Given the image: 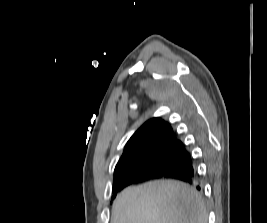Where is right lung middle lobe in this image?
Here are the masks:
<instances>
[{
    "instance_id": "1",
    "label": "right lung middle lobe",
    "mask_w": 267,
    "mask_h": 223,
    "mask_svg": "<svg viewBox=\"0 0 267 223\" xmlns=\"http://www.w3.org/2000/svg\"><path fill=\"white\" fill-rule=\"evenodd\" d=\"M184 149L168 148L161 150L154 157L145 161L131 162L125 166V173L137 170H151L156 172H167L171 170L186 155ZM115 196H113L114 198Z\"/></svg>"
}]
</instances>
